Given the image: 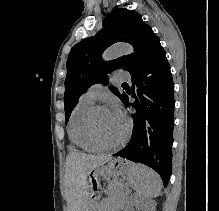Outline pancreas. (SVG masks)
I'll use <instances>...</instances> for the list:
<instances>
[{
  "instance_id": "cf45deb5",
  "label": "pancreas",
  "mask_w": 219,
  "mask_h": 211,
  "mask_svg": "<svg viewBox=\"0 0 219 211\" xmlns=\"http://www.w3.org/2000/svg\"><path fill=\"white\" fill-rule=\"evenodd\" d=\"M125 187L127 186L107 187L109 197L104 198V202H96L94 209L109 211L111 208V211H120V203H122V200H126Z\"/></svg>"
}]
</instances>
